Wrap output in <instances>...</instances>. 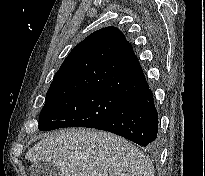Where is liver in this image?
I'll return each instance as SVG.
<instances>
[{
    "mask_svg": "<svg viewBox=\"0 0 205 176\" xmlns=\"http://www.w3.org/2000/svg\"><path fill=\"white\" fill-rule=\"evenodd\" d=\"M26 159L52 162L62 176H154L148 157L126 139L88 129L59 130L35 144Z\"/></svg>",
    "mask_w": 205,
    "mask_h": 176,
    "instance_id": "6515ba94",
    "label": "liver"
}]
</instances>
